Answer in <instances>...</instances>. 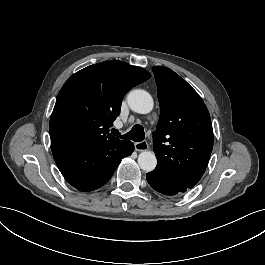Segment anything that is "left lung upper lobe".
Wrapping results in <instances>:
<instances>
[{
    "instance_id": "1",
    "label": "left lung upper lobe",
    "mask_w": 265,
    "mask_h": 265,
    "mask_svg": "<svg viewBox=\"0 0 265 265\" xmlns=\"http://www.w3.org/2000/svg\"><path fill=\"white\" fill-rule=\"evenodd\" d=\"M160 103V118L153 132L156 169L187 188L204 174L213 149L209 112L197 92L166 67L152 68Z\"/></svg>"
}]
</instances>
